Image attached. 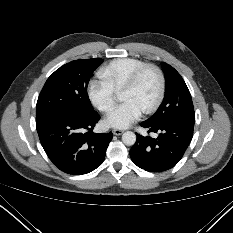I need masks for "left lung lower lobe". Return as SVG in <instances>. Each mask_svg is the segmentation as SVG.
<instances>
[{"label": "left lung lower lobe", "mask_w": 233, "mask_h": 233, "mask_svg": "<svg viewBox=\"0 0 233 233\" xmlns=\"http://www.w3.org/2000/svg\"><path fill=\"white\" fill-rule=\"evenodd\" d=\"M141 126L159 135L154 139L137 134L130 157L135 165L148 172H162L173 168L183 157L193 136L194 122L172 121L157 125L146 120Z\"/></svg>", "instance_id": "0a47b994"}]
</instances>
